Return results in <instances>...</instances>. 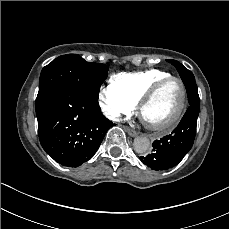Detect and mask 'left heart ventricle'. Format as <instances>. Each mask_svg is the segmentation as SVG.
I'll return each instance as SVG.
<instances>
[{"label": "left heart ventricle", "instance_id": "1", "mask_svg": "<svg viewBox=\"0 0 229 229\" xmlns=\"http://www.w3.org/2000/svg\"><path fill=\"white\" fill-rule=\"evenodd\" d=\"M179 84L181 83L177 80L170 81L149 100L142 115L146 124L155 127H159L160 124L166 125V120L176 110Z\"/></svg>", "mask_w": 229, "mask_h": 229}]
</instances>
